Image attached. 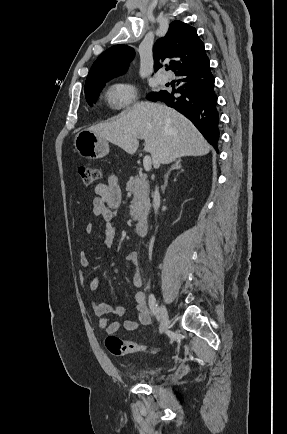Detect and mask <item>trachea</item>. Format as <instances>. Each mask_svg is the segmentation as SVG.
Listing matches in <instances>:
<instances>
[{
  "instance_id": "trachea-1",
  "label": "trachea",
  "mask_w": 287,
  "mask_h": 434,
  "mask_svg": "<svg viewBox=\"0 0 287 434\" xmlns=\"http://www.w3.org/2000/svg\"><path fill=\"white\" fill-rule=\"evenodd\" d=\"M169 69H170V67H167V68H166V70H169Z\"/></svg>"
}]
</instances>
